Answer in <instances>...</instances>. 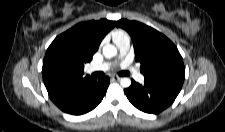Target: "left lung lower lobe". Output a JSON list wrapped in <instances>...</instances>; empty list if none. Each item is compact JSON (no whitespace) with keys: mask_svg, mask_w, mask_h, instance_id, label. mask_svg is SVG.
Returning <instances> with one entry per match:
<instances>
[{"mask_svg":"<svg viewBox=\"0 0 225 132\" xmlns=\"http://www.w3.org/2000/svg\"><path fill=\"white\" fill-rule=\"evenodd\" d=\"M179 87L144 82L140 85L132 80L124 90L128 100L139 110L157 114L170 106L180 92Z\"/></svg>","mask_w":225,"mask_h":132,"instance_id":"left-lung-lower-lobe-1","label":"left lung lower lobe"}]
</instances>
